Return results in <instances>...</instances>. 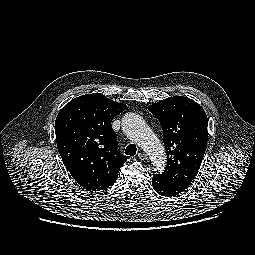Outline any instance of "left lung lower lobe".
<instances>
[{
  "label": "left lung lower lobe",
  "instance_id": "left-lung-lower-lobe-1",
  "mask_svg": "<svg viewBox=\"0 0 255 255\" xmlns=\"http://www.w3.org/2000/svg\"><path fill=\"white\" fill-rule=\"evenodd\" d=\"M152 186L158 194L166 197L179 195L186 189L169 180L164 179L160 174L153 176Z\"/></svg>",
  "mask_w": 255,
  "mask_h": 255
}]
</instances>
